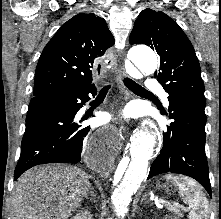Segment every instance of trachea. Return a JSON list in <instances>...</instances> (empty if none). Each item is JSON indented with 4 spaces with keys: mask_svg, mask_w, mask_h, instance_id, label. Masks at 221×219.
Masks as SVG:
<instances>
[{
    "mask_svg": "<svg viewBox=\"0 0 221 219\" xmlns=\"http://www.w3.org/2000/svg\"><path fill=\"white\" fill-rule=\"evenodd\" d=\"M124 84L134 93L137 94H144V95H151L150 92H148L146 89H144L142 86H140L139 84L135 83L133 80L128 79V78H124ZM110 88V85L105 86L104 88H102L101 91L106 92L108 91Z\"/></svg>",
    "mask_w": 221,
    "mask_h": 219,
    "instance_id": "trachea-1",
    "label": "trachea"
}]
</instances>
